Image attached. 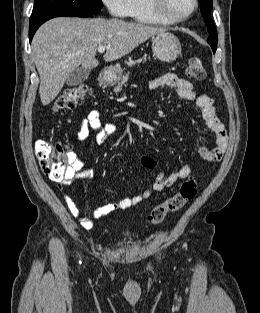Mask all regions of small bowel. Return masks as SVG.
Segmentation results:
<instances>
[{
	"label": "small bowel",
	"instance_id": "1",
	"mask_svg": "<svg viewBox=\"0 0 260 313\" xmlns=\"http://www.w3.org/2000/svg\"><path fill=\"white\" fill-rule=\"evenodd\" d=\"M160 87L175 89L181 99L193 101L201 109L206 124L215 136V146L212 149L200 146L198 153L210 166L218 163L227 149L228 137L226 128L217 115L214 99L204 93L197 95L194 92L191 82L173 73L162 74L150 82V89L154 90ZM90 130L95 132L97 142L103 143L116 131V126L111 122L102 123L99 111L91 110L81 120V126L78 131L79 141H86L89 138ZM69 160L70 166L64 178L58 183V188L64 194L69 212L85 229H92L94 227V218L105 216L117 209L131 208L141 203L144 199L150 198L153 192H161L171 187L178 180L184 179L192 174V167L190 165H183L168 176H165L164 173H158L151 189L145 190L141 195L123 198L116 202L102 205L94 210L93 216L91 217L85 215L80 210L72 197L67 193L66 187L75 180L90 179L93 176V170L89 168L83 169L81 160H79L74 153L69 154ZM140 161L144 167L149 169H153L156 166L155 159L149 155H142Z\"/></svg>",
	"mask_w": 260,
	"mask_h": 313
}]
</instances>
